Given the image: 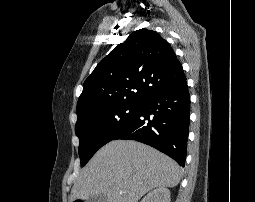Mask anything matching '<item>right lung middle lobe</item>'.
<instances>
[{
    "label": "right lung middle lobe",
    "mask_w": 255,
    "mask_h": 202,
    "mask_svg": "<svg viewBox=\"0 0 255 202\" xmlns=\"http://www.w3.org/2000/svg\"><path fill=\"white\" fill-rule=\"evenodd\" d=\"M140 106V103L111 105L77 119L75 133L80 140L78 151L82 166L126 127Z\"/></svg>",
    "instance_id": "obj_1"
}]
</instances>
